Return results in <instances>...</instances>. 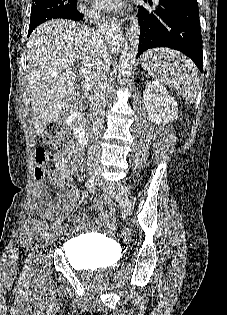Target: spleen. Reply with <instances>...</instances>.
<instances>
[{
	"label": "spleen",
	"instance_id": "1",
	"mask_svg": "<svg viewBox=\"0 0 227 315\" xmlns=\"http://www.w3.org/2000/svg\"><path fill=\"white\" fill-rule=\"evenodd\" d=\"M142 67L160 83L177 90L189 103L196 99L198 70L179 52L164 48L149 50L142 56Z\"/></svg>",
	"mask_w": 227,
	"mask_h": 315
}]
</instances>
